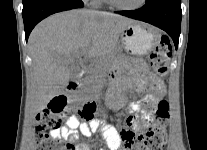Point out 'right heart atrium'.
<instances>
[{"label": "right heart atrium", "instance_id": "right-heart-atrium-1", "mask_svg": "<svg viewBox=\"0 0 207 150\" xmlns=\"http://www.w3.org/2000/svg\"><path fill=\"white\" fill-rule=\"evenodd\" d=\"M85 1H89V0H85ZM90 1H92L94 3L95 0H90Z\"/></svg>", "mask_w": 207, "mask_h": 150}]
</instances>
